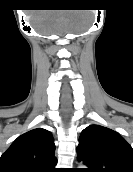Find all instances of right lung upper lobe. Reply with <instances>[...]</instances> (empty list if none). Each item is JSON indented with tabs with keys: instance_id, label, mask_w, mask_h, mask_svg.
Masks as SVG:
<instances>
[{
	"instance_id": "1",
	"label": "right lung upper lobe",
	"mask_w": 133,
	"mask_h": 172,
	"mask_svg": "<svg viewBox=\"0 0 133 172\" xmlns=\"http://www.w3.org/2000/svg\"><path fill=\"white\" fill-rule=\"evenodd\" d=\"M51 132L38 128L19 136L0 158V172H56Z\"/></svg>"
}]
</instances>
